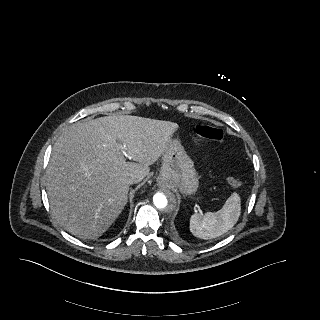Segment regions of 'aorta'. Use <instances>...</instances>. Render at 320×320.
<instances>
[{"label": "aorta", "instance_id": "1", "mask_svg": "<svg viewBox=\"0 0 320 320\" xmlns=\"http://www.w3.org/2000/svg\"><path fill=\"white\" fill-rule=\"evenodd\" d=\"M177 207V199L169 190H163L153 196L152 212L160 219L172 213Z\"/></svg>", "mask_w": 320, "mask_h": 320}]
</instances>
